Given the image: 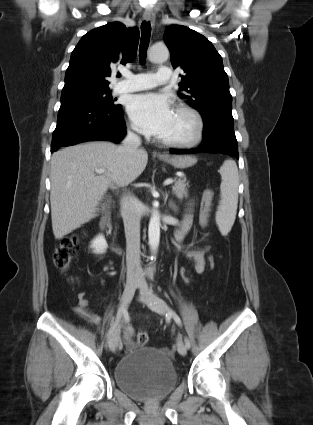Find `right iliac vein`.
I'll return each instance as SVG.
<instances>
[{
    "label": "right iliac vein",
    "instance_id": "right-iliac-vein-1",
    "mask_svg": "<svg viewBox=\"0 0 313 425\" xmlns=\"http://www.w3.org/2000/svg\"><path fill=\"white\" fill-rule=\"evenodd\" d=\"M138 287L137 283H128L125 286L121 302H120V309H123L125 311L126 307L132 300L135 290ZM119 334H120V324L114 329L112 332L110 339H109V347L111 351H114L119 343Z\"/></svg>",
    "mask_w": 313,
    "mask_h": 425
}]
</instances>
